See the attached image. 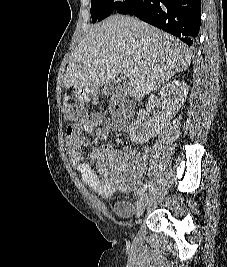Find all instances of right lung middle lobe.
Returning a JSON list of instances; mask_svg holds the SVG:
<instances>
[{
	"label": "right lung middle lobe",
	"instance_id": "right-lung-middle-lobe-1",
	"mask_svg": "<svg viewBox=\"0 0 227 267\" xmlns=\"http://www.w3.org/2000/svg\"><path fill=\"white\" fill-rule=\"evenodd\" d=\"M128 0L123 2H114V0H91L92 22L101 21L111 14L115 13Z\"/></svg>",
	"mask_w": 227,
	"mask_h": 267
}]
</instances>
